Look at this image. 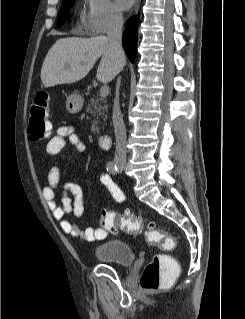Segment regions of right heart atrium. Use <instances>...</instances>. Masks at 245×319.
<instances>
[{
  "label": "right heart atrium",
  "instance_id": "right-heart-atrium-1",
  "mask_svg": "<svg viewBox=\"0 0 245 319\" xmlns=\"http://www.w3.org/2000/svg\"><path fill=\"white\" fill-rule=\"evenodd\" d=\"M121 22L122 13L112 0H85L81 26L86 33L103 34L119 27Z\"/></svg>",
  "mask_w": 245,
  "mask_h": 319
}]
</instances>
